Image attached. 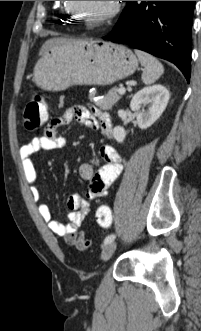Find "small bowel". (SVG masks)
I'll return each instance as SVG.
<instances>
[{
    "label": "small bowel",
    "mask_w": 201,
    "mask_h": 331,
    "mask_svg": "<svg viewBox=\"0 0 201 331\" xmlns=\"http://www.w3.org/2000/svg\"><path fill=\"white\" fill-rule=\"evenodd\" d=\"M74 120L90 129H100L106 137L111 135L112 123L106 112L74 105L66 109L62 116L52 119L44 128L42 135L32 138L20 147L22 168L30 184L32 197L36 202H39L38 209L42 219L54 234L64 238L66 243L71 246H76L77 240L84 238L80 227L90 210L89 200L104 196L107 188L118 178L122 171L121 158L117 151L111 145H102L99 154L103 164L96 172L88 163H83L79 167L81 178L88 181V188L85 197L74 194L67 199L68 222L62 223L52 217L49 206L41 202L42 193L36 185L37 172L32 157L38 152L62 149L65 146V140L60 134L59 128L70 124Z\"/></svg>",
    "instance_id": "obj_1"
}]
</instances>
